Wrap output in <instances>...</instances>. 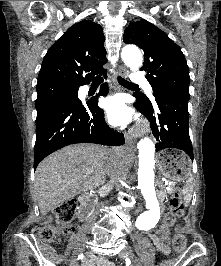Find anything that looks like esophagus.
<instances>
[{"mask_svg": "<svg viewBox=\"0 0 221 266\" xmlns=\"http://www.w3.org/2000/svg\"><path fill=\"white\" fill-rule=\"evenodd\" d=\"M118 75L121 76V77H126L127 76V71L124 67H121L118 71ZM125 140H126V143L129 145V146H134L135 144V139L133 137H131L130 135L126 134L125 135Z\"/></svg>", "mask_w": 221, "mask_h": 266, "instance_id": "34e87169", "label": "esophagus"}]
</instances>
